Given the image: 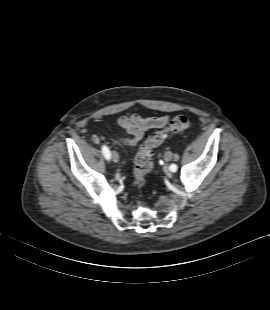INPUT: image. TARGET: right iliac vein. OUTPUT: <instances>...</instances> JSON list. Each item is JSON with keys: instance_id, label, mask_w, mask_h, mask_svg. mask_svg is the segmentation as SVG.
I'll return each mask as SVG.
<instances>
[{"instance_id": "1", "label": "right iliac vein", "mask_w": 270, "mask_h": 310, "mask_svg": "<svg viewBox=\"0 0 270 310\" xmlns=\"http://www.w3.org/2000/svg\"><path fill=\"white\" fill-rule=\"evenodd\" d=\"M111 159L113 162L117 163L119 161V155L117 154V152L113 151L111 153Z\"/></svg>"}]
</instances>
